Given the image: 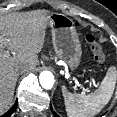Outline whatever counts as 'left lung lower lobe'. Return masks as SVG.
Returning a JSON list of instances; mask_svg holds the SVG:
<instances>
[{"mask_svg": "<svg viewBox=\"0 0 117 117\" xmlns=\"http://www.w3.org/2000/svg\"><path fill=\"white\" fill-rule=\"evenodd\" d=\"M55 114V116L59 117L55 112H53Z\"/></svg>", "mask_w": 117, "mask_h": 117, "instance_id": "left-lung-lower-lobe-1", "label": "left lung lower lobe"}]
</instances>
